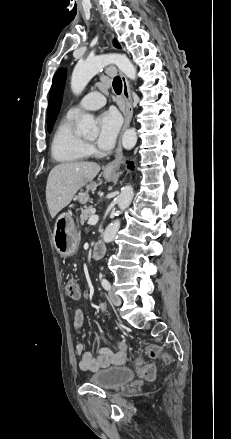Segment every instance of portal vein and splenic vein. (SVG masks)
I'll list each match as a JSON object with an SVG mask.
<instances>
[{
  "label": "portal vein and splenic vein",
  "instance_id": "obj_1",
  "mask_svg": "<svg viewBox=\"0 0 231 439\" xmlns=\"http://www.w3.org/2000/svg\"><path fill=\"white\" fill-rule=\"evenodd\" d=\"M99 220V217L97 215H92L89 220H88V224L90 225H95Z\"/></svg>",
  "mask_w": 231,
  "mask_h": 439
}]
</instances>
